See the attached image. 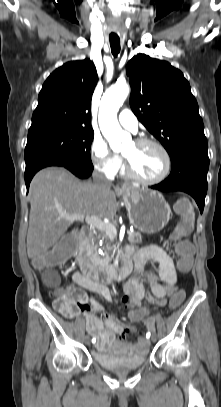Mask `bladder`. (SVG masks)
<instances>
[{
	"label": "bladder",
	"mask_w": 221,
	"mask_h": 407,
	"mask_svg": "<svg viewBox=\"0 0 221 407\" xmlns=\"http://www.w3.org/2000/svg\"><path fill=\"white\" fill-rule=\"evenodd\" d=\"M93 360L102 368L110 371H125L140 368L146 362V351L132 356L115 352H92Z\"/></svg>",
	"instance_id": "1"
}]
</instances>
